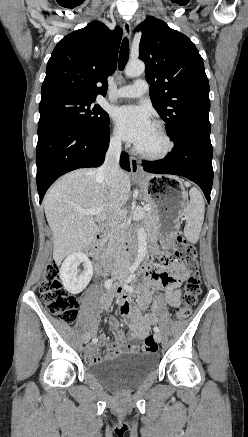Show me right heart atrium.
<instances>
[{"label": "right heart atrium", "mask_w": 248, "mask_h": 437, "mask_svg": "<svg viewBox=\"0 0 248 437\" xmlns=\"http://www.w3.org/2000/svg\"><path fill=\"white\" fill-rule=\"evenodd\" d=\"M110 144L114 147H118L121 144V139L116 131L112 130L109 136Z\"/></svg>", "instance_id": "d8ad5b80"}]
</instances>
